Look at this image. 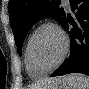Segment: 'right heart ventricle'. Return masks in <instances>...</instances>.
<instances>
[{"label":"right heart ventricle","mask_w":89,"mask_h":89,"mask_svg":"<svg viewBox=\"0 0 89 89\" xmlns=\"http://www.w3.org/2000/svg\"><path fill=\"white\" fill-rule=\"evenodd\" d=\"M25 67H26V71L28 73V75L31 78H39L41 77L40 74H38L36 71L32 70L29 63H28V59H27V46H26V50H25Z\"/></svg>","instance_id":"right-heart-ventricle-1"}]
</instances>
